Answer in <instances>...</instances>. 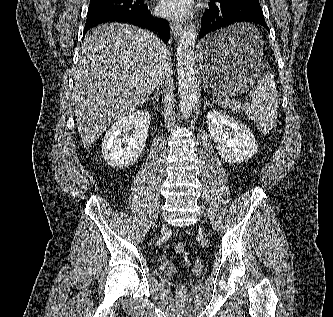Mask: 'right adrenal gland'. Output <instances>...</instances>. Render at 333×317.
Returning <instances> with one entry per match:
<instances>
[{
	"mask_svg": "<svg viewBox=\"0 0 333 317\" xmlns=\"http://www.w3.org/2000/svg\"><path fill=\"white\" fill-rule=\"evenodd\" d=\"M159 94H160V91H159V88H157L156 92H154L153 96L148 98V101L156 100L157 102H159Z\"/></svg>",
	"mask_w": 333,
	"mask_h": 317,
	"instance_id": "2a0ac1e0",
	"label": "right adrenal gland"
}]
</instances>
